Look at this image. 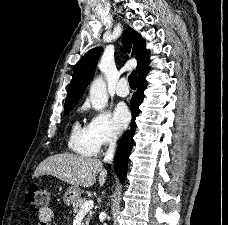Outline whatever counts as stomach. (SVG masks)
I'll use <instances>...</instances> for the list:
<instances>
[{
  "instance_id": "1",
  "label": "stomach",
  "mask_w": 228,
  "mask_h": 225,
  "mask_svg": "<svg viewBox=\"0 0 228 225\" xmlns=\"http://www.w3.org/2000/svg\"><path fill=\"white\" fill-rule=\"evenodd\" d=\"M81 195V189L79 187H69L67 189L66 193H64V203L65 205H72L73 201H76V199H79Z\"/></svg>"
}]
</instances>
